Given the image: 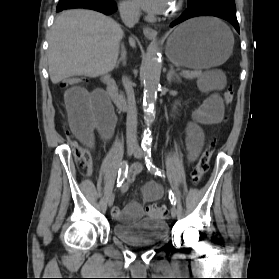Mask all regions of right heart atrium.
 Here are the masks:
<instances>
[{"label":"right heart atrium","mask_w":279,"mask_h":279,"mask_svg":"<svg viewBox=\"0 0 279 279\" xmlns=\"http://www.w3.org/2000/svg\"><path fill=\"white\" fill-rule=\"evenodd\" d=\"M122 13L127 17H134L137 14V8L130 0H124L120 4Z\"/></svg>","instance_id":"right-heart-atrium-1"}]
</instances>
